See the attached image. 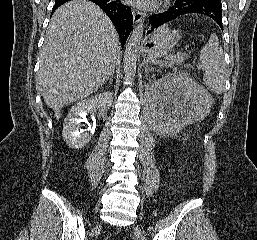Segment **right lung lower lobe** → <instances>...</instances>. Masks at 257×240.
<instances>
[{"instance_id": "98d812e1", "label": "right lung lower lobe", "mask_w": 257, "mask_h": 240, "mask_svg": "<svg viewBox=\"0 0 257 240\" xmlns=\"http://www.w3.org/2000/svg\"><path fill=\"white\" fill-rule=\"evenodd\" d=\"M69 1V0H68ZM97 4L105 11L108 17L113 22L122 43L125 44L132 30V12L131 8L123 5L120 0H90ZM67 2V1H66ZM65 3V2H64ZM63 4V3H62ZM60 4V5H62ZM55 5L52 13L60 6Z\"/></svg>"}]
</instances>
